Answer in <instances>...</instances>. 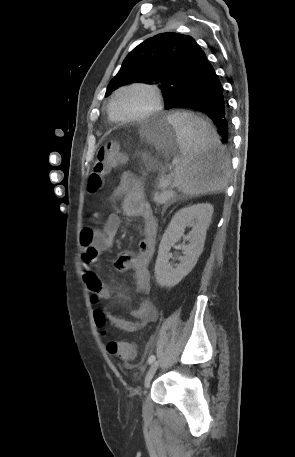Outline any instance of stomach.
Wrapping results in <instances>:
<instances>
[{
    "mask_svg": "<svg viewBox=\"0 0 295 457\" xmlns=\"http://www.w3.org/2000/svg\"><path fill=\"white\" fill-rule=\"evenodd\" d=\"M144 141L160 149L178 146L177 133L168 117H160L146 122L141 128Z\"/></svg>",
    "mask_w": 295,
    "mask_h": 457,
    "instance_id": "obj_1",
    "label": "stomach"
}]
</instances>
